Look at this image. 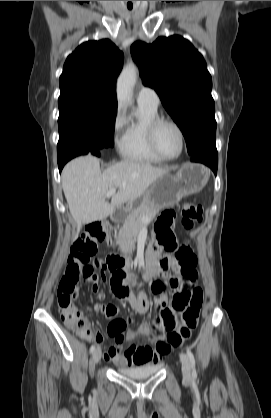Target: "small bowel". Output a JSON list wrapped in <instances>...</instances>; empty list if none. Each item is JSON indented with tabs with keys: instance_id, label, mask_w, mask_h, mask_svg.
Here are the masks:
<instances>
[{
	"instance_id": "small-bowel-1",
	"label": "small bowel",
	"mask_w": 271,
	"mask_h": 418,
	"mask_svg": "<svg viewBox=\"0 0 271 418\" xmlns=\"http://www.w3.org/2000/svg\"><path fill=\"white\" fill-rule=\"evenodd\" d=\"M146 260L147 269L145 278L147 280L160 277L168 278L167 284L168 286H172L176 294L182 290V285H179L178 277H170L169 275L171 267L174 271L179 272L178 262L174 258L160 256V246L156 241L148 248ZM101 269L103 268L101 267ZM110 279L111 290L117 299L129 303L137 313L143 314L148 311L149 301L146 295L142 291L138 296L134 295L131 290L134 278L129 276V272L125 267H114L110 272ZM87 281L92 283V290L95 296L98 299H103L104 294L98 287V275L94 274ZM167 284L157 280L151 285L154 301L160 311V315L153 323L143 322L137 330L129 331L126 334L124 331L128 322L124 314H120V305H107L106 308L101 304L95 306L97 310L103 311V315L106 317V330L110 333V338L115 339V345L104 353V359L106 361L113 362L122 367H137L160 363L168 354L170 349H161L159 347L160 343L165 342L164 333L161 332L164 312L171 311L176 314L172 306H167V299L164 294L167 291ZM141 336H145L149 344L131 345L123 351L124 342L132 341ZM98 341H100V338Z\"/></svg>"
}]
</instances>
